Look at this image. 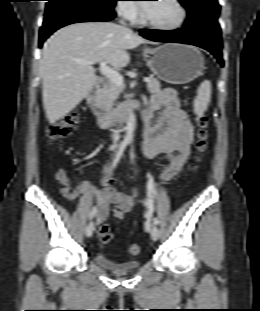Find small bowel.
I'll use <instances>...</instances> for the list:
<instances>
[{"label":"small bowel","instance_id":"c3829d8e","mask_svg":"<svg viewBox=\"0 0 260 311\" xmlns=\"http://www.w3.org/2000/svg\"><path fill=\"white\" fill-rule=\"evenodd\" d=\"M155 110H161V114L157 122L151 124L148 121L149 113ZM143 122L141 156L143 159L164 156L166 163L161 179L164 182L169 181L187 163L194 141L192 124L187 113L180 106L176 91L164 89L156 93L144 109ZM54 178L62 186L61 193L68 200H73L84 193L94 194L98 206L96 214L98 224L106 220L111 209L114 217L121 220L131 212L135 197L140 191V187H137L134 195H128L117 190L115 188L116 181L108 176V171L103 179L106 186L103 190L85 182L75 189L72 188L69 176L62 168L55 172ZM97 206H95L96 210Z\"/></svg>","mask_w":260,"mask_h":311}]
</instances>
